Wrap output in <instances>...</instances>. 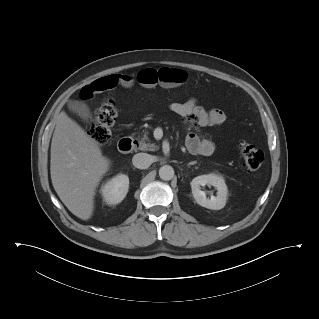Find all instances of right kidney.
<instances>
[{"label":"right kidney","mask_w":319,"mask_h":319,"mask_svg":"<svg viewBox=\"0 0 319 319\" xmlns=\"http://www.w3.org/2000/svg\"><path fill=\"white\" fill-rule=\"evenodd\" d=\"M129 189V178L125 174H119L107 181L101 188L103 200L108 205L120 203Z\"/></svg>","instance_id":"ca27d5eb"}]
</instances>
